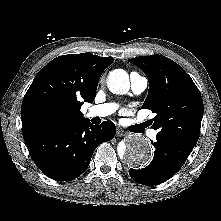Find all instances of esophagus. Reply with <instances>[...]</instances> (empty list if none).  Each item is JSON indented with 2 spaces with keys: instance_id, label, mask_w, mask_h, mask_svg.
<instances>
[{
  "instance_id": "obj_1",
  "label": "esophagus",
  "mask_w": 221,
  "mask_h": 221,
  "mask_svg": "<svg viewBox=\"0 0 221 221\" xmlns=\"http://www.w3.org/2000/svg\"><path fill=\"white\" fill-rule=\"evenodd\" d=\"M116 135L118 137H123L126 135V132L124 130H122L121 128H117Z\"/></svg>"
}]
</instances>
